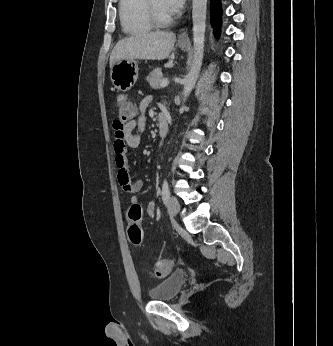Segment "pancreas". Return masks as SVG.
<instances>
[{
  "label": "pancreas",
  "instance_id": "1",
  "mask_svg": "<svg viewBox=\"0 0 333 346\" xmlns=\"http://www.w3.org/2000/svg\"><path fill=\"white\" fill-rule=\"evenodd\" d=\"M162 76L161 68H156L147 76V81L153 89H158L161 87Z\"/></svg>",
  "mask_w": 333,
  "mask_h": 346
}]
</instances>
